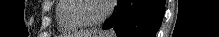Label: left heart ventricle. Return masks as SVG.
<instances>
[{"label":"left heart ventricle","instance_id":"obj_1","mask_svg":"<svg viewBox=\"0 0 219 37\" xmlns=\"http://www.w3.org/2000/svg\"><path fill=\"white\" fill-rule=\"evenodd\" d=\"M104 2L101 0L84 1L81 9L82 16L88 20L98 19L104 12Z\"/></svg>","mask_w":219,"mask_h":37}]
</instances>
